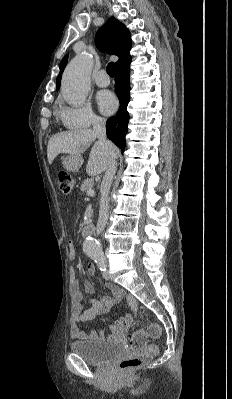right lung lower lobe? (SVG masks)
<instances>
[{
	"instance_id": "obj_1",
	"label": "right lung lower lobe",
	"mask_w": 232,
	"mask_h": 399,
	"mask_svg": "<svg viewBox=\"0 0 232 399\" xmlns=\"http://www.w3.org/2000/svg\"><path fill=\"white\" fill-rule=\"evenodd\" d=\"M130 62L131 59L121 63L115 70V91L119 98L120 108L116 116L109 118L106 122L107 137L115 143L122 153L125 149V135L128 131L129 113L127 105L130 95Z\"/></svg>"
}]
</instances>
